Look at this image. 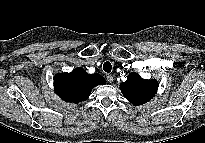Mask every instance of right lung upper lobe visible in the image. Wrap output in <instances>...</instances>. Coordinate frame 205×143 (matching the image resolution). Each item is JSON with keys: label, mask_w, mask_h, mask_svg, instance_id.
Returning a JSON list of instances; mask_svg holds the SVG:
<instances>
[{"label": "right lung upper lobe", "mask_w": 205, "mask_h": 143, "mask_svg": "<svg viewBox=\"0 0 205 143\" xmlns=\"http://www.w3.org/2000/svg\"><path fill=\"white\" fill-rule=\"evenodd\" d=\"M105 82L100 74H87L82 67H78L71 73L56 74L54 89L64 101L78 103L85 101L95 86L103 85Z\"/></svg>", "instance_id": "cb5924a9"}]
</instances>
